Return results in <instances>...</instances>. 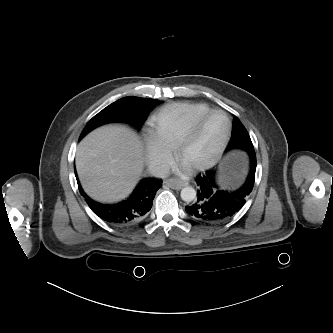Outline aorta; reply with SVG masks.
<instances>
[{
  "label": "aorta",
  "mask_w": 333,
  "mask_h": 333,
  "mask_svg": "<svg viewBox=\"0 0 333 333\" xmlns=\"http://www.w3.org/2000/svg\"><path fill=\"white\" fill-rule=\"evenodd\" d=\"M181 199L185 202H192L196 198V191L193 187L187 186L181 190Z\"/></svg>",
  "instance_id": "1"
}]
</instances>
